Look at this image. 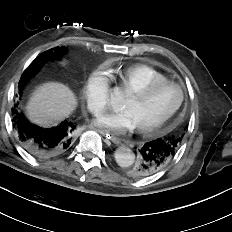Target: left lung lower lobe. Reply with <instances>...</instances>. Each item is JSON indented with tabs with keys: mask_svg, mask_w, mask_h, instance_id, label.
<instances>
[{
	"mask_svg": "<svg viewBox=\"0 0 232 232\" xmlns=\"http://www.w3.org/2000/svg\"><path fill=\"white\" fill-rule=\"evenodd\" d=\"M175 154L173 146L162 138L149 141L140 148L138 162L131 165V174L135 178L153 175L167 166Z\"/></svg>",
	"mask_w": 232,
	"mask_h": 232,
	"instance_id": "left-lung-lower-lobe-1",
	"label": "left lung lower lobe"
}]
</instances>
